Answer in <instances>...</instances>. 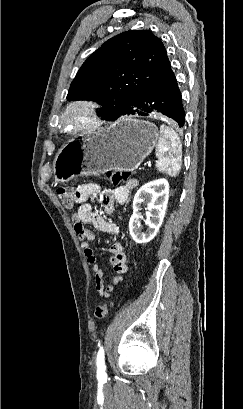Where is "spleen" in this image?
<instances>
[{"instance_id": "spleen-1", "label": "spleen", "mask_w": 243, "mask_h": 409, "mask_svg": "<svg viewBox=\"0 0 243 409\" xmlns=\"http://www.w3.org/2000/svg\"><path fill=\"white\" fill-rule=\"evenodd\" d=\"M158 161L156 167L160 172L176 177L181 169L182 145L178 134L166 125L160 126V137L156 147Z\"/></svg>"}]
</instances>
